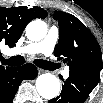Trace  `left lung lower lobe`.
I'll list each match as a JSON object with an SVG mask.
<instances>
[{
    "instance_id": "left-lung-lower-lobe-1",
    "label": "left lung lower lobe",
    "mask_w": 103,
    "mask_h": 103,
    "mask_svg": "<svg viewBox=\"0 0 103 103\" xmlns=\"http://www.w3.org/2000/svg\"><path fill=\"white\" fill-rule=\"evenodd\" d=\"M100 79L98 70H80L70 72L62 86L61 94L49 103H83L96 87Z\"/></svg>"
}]
</instances>
